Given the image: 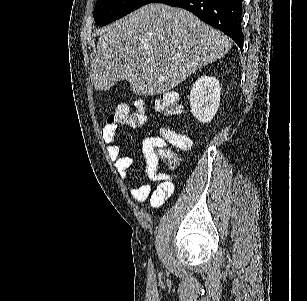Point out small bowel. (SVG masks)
Masks as SVG:
<instances>
[{"label": "small bowel", "mask_w": 307, "mask_h": 301, "mask_svg": "<svg viewBox=\"0 0 307 301\" xmlns=\"http://www.w3.org/2000/svg\"><path fill=\"white\" fill-rule=\"evenodd\" d=\"M102 139L109 144L108 154L114 162V166L119 176L126 180L128 171L133 163L130 156L123 155L121 147L115 143L117 135V125L106 124L101 132ZM163 144L160 136H149L145 138L142 144V151L145 159V171L149 183L141 184L138 187L131 188L130 197L135 202L148 200L146 208L148 210L163 206L174 194L175 185L173 179L157 171L158 156L156 149ZM151 183H156L153 187Z\"/></svg>", "instance_id": "c3829d8e"}]
</instances>
